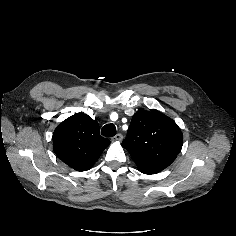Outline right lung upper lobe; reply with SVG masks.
Wrapping results in <instances>:
<instances>
[{"label": "right lung upper lobe", "mask_w": 236, "mask_h": 236, "mask_svg": "<svg viewBox=\"0 0 236 236\" xmlns=\"http://www.w3.org/2000/svg\"><path fill=\"white\" fill-rule=\"evenodd\" d=\"M109 144L100 135L98 122L84 113L67 118L53 133L54 152L77 171L90 169Z\"/></svg>", "instance_id": "obj_1"}]
</instances>
